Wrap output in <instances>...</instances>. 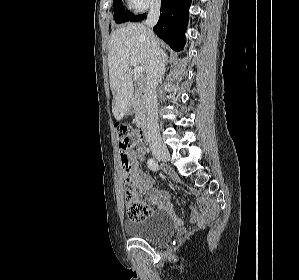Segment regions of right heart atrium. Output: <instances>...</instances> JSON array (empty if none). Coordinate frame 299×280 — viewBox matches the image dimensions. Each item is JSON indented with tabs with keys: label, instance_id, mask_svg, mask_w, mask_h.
<instances>
[{
	"label": "right heart atrium",
	"instance_id": "obj_1",
	"mask_svg": "<svg viewBox=\"0 0 299 280\" xmlns=\"http://www.w3.org/2000/svg\"><path fill=\"white\" fill-rule=\"evenodd\" d=\"M128 2L133 10L142 12L151 6L158 4L159 0H128Z\"/></svg>",
	"mask_w": 299,
	"mask_h": 280
}]
</instances>
